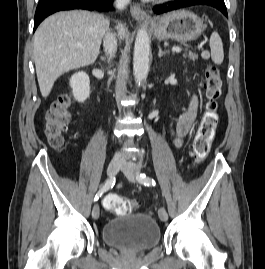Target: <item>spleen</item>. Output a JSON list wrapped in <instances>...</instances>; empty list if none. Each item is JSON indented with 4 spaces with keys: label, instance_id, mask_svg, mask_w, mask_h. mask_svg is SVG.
I'll list each match as a JSON object with an SVG mask.
<instances>
[{
    "label": "spleen",
    "instance_id": "obj_1",
    "mask_svg": "<svg viewBox=\"0 0 265 269\" xmlns=\"http://www.w3.org/2000/svg\"><path fill=\"white\" fill-rule=\"evenodd\" d=\"M211 49V59L212 61L220 65L224 60L223 44L222 40L217 32H213L209 41Z\"/></svg>",
    "mask_w": 265,
    "mask_h": 269
}]
</instances>
